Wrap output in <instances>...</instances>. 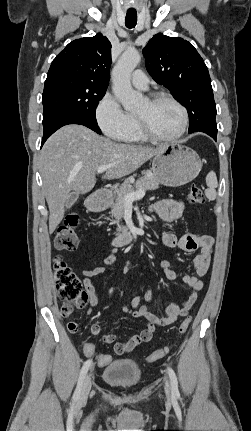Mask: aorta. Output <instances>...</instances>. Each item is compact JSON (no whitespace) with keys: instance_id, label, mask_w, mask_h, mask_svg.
Listing matches in <instances>:
<instances>
[{"instance_id":"obj_1","label":"aorta","mask_w":251,"mask_h":431,"mask_svg":"<svg viewBox=\"0 0 251 431\" xmlns=\"http://www.w3.org/2000/svg\"><path fill=\"white\" fill-rule=\"evenodd\" d=\"M141 60L135 48L126 49L112 70L113 92L126 110L139 107L141 96L131 86V73Z\"/></svg>"}]
</instances>
